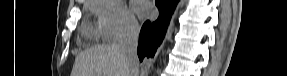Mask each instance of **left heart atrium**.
<instances>
[{"mask_svg":"<svg viewBox=\"0 0 287 76\" xmlns=\"http://www.w3.org/2000/svg\"><path fill=\"white\" fill-rule=\"evenodd\" d=\"M133 8L142 18H148L154 13L152 4L147 0H136L133 2Z\"/></svg>","mask_w":287,"mask_h":76,"instance_id":"39dd6f15","label":"left heart atrium"}]
</instances>
